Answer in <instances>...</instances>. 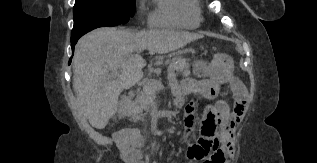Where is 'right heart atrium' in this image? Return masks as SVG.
Listing matches in <instances>:
<instances>
[{"label":"right heart atrium","mask_w":317,"mask_h":163,"mask_svg":"<svg viewBox=\"0 0 317 163\" xmlns=\"http://www.w3.org/2000/svg\"><path fill=\"white\" fill-rule=\"evenodd\" d=\"M137 11H138L139 15H142V13L144 11V3L142 2V0H139L137 2Z\"/></svg>","instance_id":"obj_1"}]
</instances>
